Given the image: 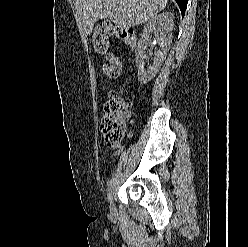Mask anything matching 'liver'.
<instances>
[{
    "instance_id": "obj_1",
    "label": "liver",
    "mask_w": 248,
    "mask_h": 247,
    "mask_svg": "<svg viewBox=\"0 0 248 247\" xmlns=\"http://www.w3.org/2000/svg\"><path fill=\"white\" fill-rule=\"evenodd\" d=\"M168 0H74L87 35L95 22L109 17L122 28L137 26L165 9Z\"/></svg>"
}]
</instances>
